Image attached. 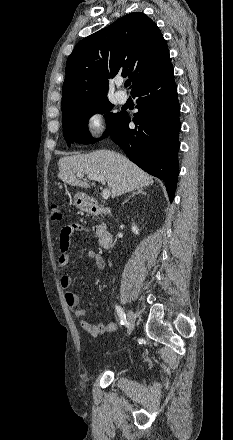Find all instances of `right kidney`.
I'll return each instance as SVG.
<instances>
[{
	"label": "right kidney",
	"instance_id": "ca27d5eb",
	"mask_svg": "<svg viewBox=\"0 0 233 440\" xmlns=\"http://www.w3.org/2000/svg\"><path fill=\"white\" fill-rule=\"evenodd\" d=\"M131 229H132V232L134 234H136V235L139 234V229H138V227L136 225L132 224V228Z\"/></svg>",
	"mask_w": 233,
	"mask_h": 440
}]
</instances>
